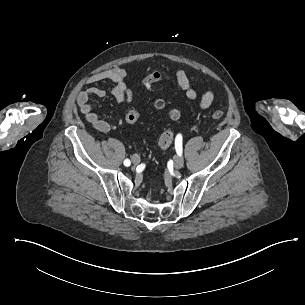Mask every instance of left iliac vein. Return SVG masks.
<instances>
[{"label": "left iliac vein", "mask_w": 305, "mask_h": 305, "mask_svg": "<svg viewBox=\"0 0 305 305\" xmlns=\"http://www.w3.org/2000/svg\"><path fill=\"white\" fill-rule=\"evenodd\" d=\"M184 159L182 155H176L174 157V167L176 169H181L183 167Z\"/></svg>", "instance_id": "4c4485c4"}]
</instances>
